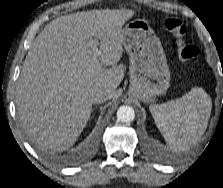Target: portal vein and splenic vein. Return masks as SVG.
Masks as SVG:
<instances>
[{"label":"portal vein and splenic vein","instance_id":"obj_1","mask_svg":"<svg viewBox=\"0 0 223 188\" xmlns=\"http://www.w3.org/2000/svg\"><path fill=\"white\" fill-rule=\"evenodd\" d=\"M96 43H97V40H91L90 45L92 47V51H93L94 55L98 56V55H100V51H99Z\"/></svg>","mask_w":223,"mask_h":188}]
</instances>
